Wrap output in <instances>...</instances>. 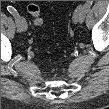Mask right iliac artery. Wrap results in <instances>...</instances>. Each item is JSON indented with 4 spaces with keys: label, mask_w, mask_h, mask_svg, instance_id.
I'll list each match as a JSON object with an SVG mask.
<instances>
[{
    "label": "right iliac artery",
    "mask_w": 109,
    "mask_h": 109,
    "mask_svg": "<svg viewBox=\"0 0 109 109\" xmlns=\"http://www.w3.org/2000/svg\"><path fill=\"white\" fill-rule=\"evenodd\" d=\"M7 10L14 16L16 24H17V29H18L19 32H21L22 28H20V26H19L20 16H19L17 10L14 7L10 6V5L7 6Z\"/></svg>",
    "instance_id": "right-iliac-artery-1"
}]
</instances>
